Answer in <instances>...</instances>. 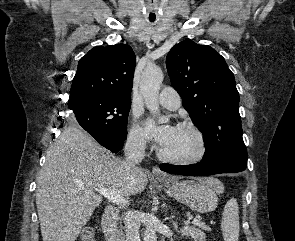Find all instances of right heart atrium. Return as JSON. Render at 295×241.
Segmentation results:
<instances>
[{"instance_id": "d8ad5b80", "label": "right heart atrium", "mask_w": 295, "mask_h": 241, "mask_svg": "<svg viewBox=\"0 0 295 241\" xmlns=\"http://www.w3.org/2000/svg\"><path fill=\"white\" fill-rule=\"evenodd\" d=\"M129 143L137 148L144 149L146 147V139L142 128L138 124H134L128 135Z\"/></svg>"}]
</instances>
